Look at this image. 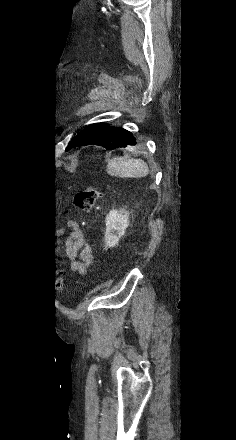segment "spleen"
Segmentation results:
<instances>
[{"mask_svg": "<svg viewBox=\"0 0 236 440\" xmlns=\"http://www.w3.org/2000/svg\"><path fill=\"white\" fill-rule=\"evenodd\" d=\"M107 172L119 177L140 178L149 174V168L142 159L130 157H117L108 162Z\"/></svg>", "mask_w": 236, "mask_h": 440, "instance_id": "1", "label": "spleen"}]
</instances>
